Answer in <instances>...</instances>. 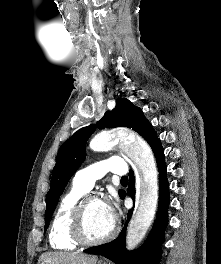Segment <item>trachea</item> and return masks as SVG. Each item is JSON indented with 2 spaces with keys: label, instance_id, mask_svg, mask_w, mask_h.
Masks as SVG:
<instances>
[{
  "label": "trachea",
  "instance_id": "1",
  "mask_svg": "<svg viewBox=\"0 0 221 264\" xmlns=\"http://www.w3.org/2000/svg\"><path fill=\"white\" fill-rule=\"evenodd\" d=\"M128 181V177L127 176H123L122 178H121V182H127Z\"/></svg>",
  "mask_w": 221,
  "mask_h": 264
}]
</instances>
